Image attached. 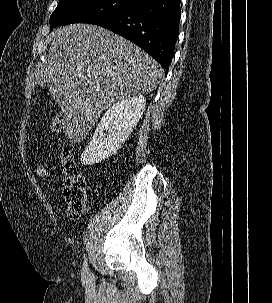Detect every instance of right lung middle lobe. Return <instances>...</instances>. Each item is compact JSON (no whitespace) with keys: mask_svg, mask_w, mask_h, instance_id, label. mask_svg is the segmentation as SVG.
Returning a JSON list of instances; mask_svg holds the SVG:
<instances>
[{"mask_svg":"<svg viewBox=\"0 0 272 303\" xmlns=\"http://www.w3.org/2000/svg\"><path fill=\"white\" fill-rule=\"evenodd\" d=\"M135 0H60L50 17V28L92 23L135 6Z\"/></svg>","mask_w":272,"mask_h":303,"instance_id":"1","label":"right lung middle lobe"}]
</instances>
